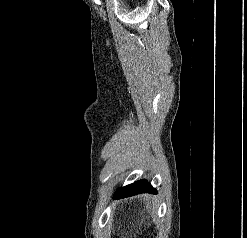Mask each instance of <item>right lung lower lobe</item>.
<instances>
[{"label":"right lung lower lobe","instance_id":"1","mask_svg":"<svg viewBox=\"0 0 247 238\" xmlns=\"http://www.w3.org/2000/svg\"><path fill=\"white\" fill-rule=\"evenodd\" d=\"M140 193H156V190L146 180H139L133 184L120 188L116 192L114 198H125Z\"/></svg>","mask_w":247,"mask_h":238}]
</instances>
